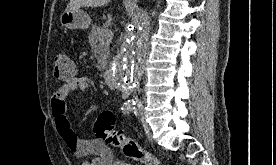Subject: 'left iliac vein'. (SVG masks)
<instances>
[{"mask_svg":"<svg viewBox=\"0 0 276 165\" xmlns=\"http://www.w3.org/2000/svg\"><path fill=\"white\" fill-rule=\"evenodd\" d=\"M135 115L136 116H142L143 115V108H142V104L138 105V108L135 111Z\"/></svg>","mask_w":276,"mask_h":165,"instance_id":"1","label":"left iliac vein"}]
</instances>
